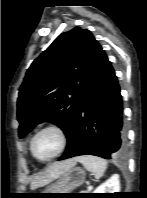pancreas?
<instances>
[{
	"instance_id": "obj_1",
	"label": "pancreas",
	"mask_w": 147,
	"mask_h": 198,
	"mask_svg": "<svg viewBox=\"0 0 147 198\" xmlns=\"http://www.w3.org/2000/svg\"><path fill=\"white\" fill-rule=\"evenodd\" d=\"M84 193H87L88 191H83Z\"/></svg>"
}]
</instances>
